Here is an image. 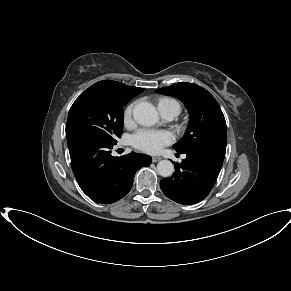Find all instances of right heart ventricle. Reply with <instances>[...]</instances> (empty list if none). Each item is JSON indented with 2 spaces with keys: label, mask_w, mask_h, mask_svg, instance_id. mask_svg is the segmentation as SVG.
<instances>
[{
  "label": "right heart ventricle",
  "mask_w": 291,
  "mask_h": 291,
  "mask_svg": "<svg viewBox=\"0 0 291 291\" xmlns=\"http://www.w3.org/2000/svg\"><path fill=\"white\" fill-rule=\"evenodd\" d=\"M165 108H172L173 110L176 111L178 115L182 109V106H181V103L174 98L163 97V98H160L158 101V109L159 111H162Z\"/></svg>",
  "instance_id": "obj_1"
}]
</instances>
